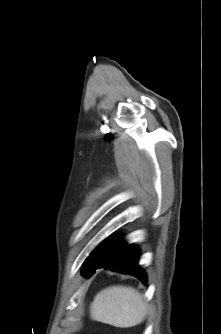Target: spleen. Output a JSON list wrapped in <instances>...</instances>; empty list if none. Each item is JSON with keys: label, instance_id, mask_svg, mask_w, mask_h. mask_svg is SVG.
<instances>
[{"label": "spleen", "instance_id": "spleen-1", "mask_svg": "<svg viewBox=\"0 0 221 334\" xmlns=\"http://www.w3.org/2000/svg\"><path fill=\"white\" fill-rule=\"evenodd\" d=\"M147 305L132 287L111 286L101 290L91 303L92 320L119 328L133 327L146 317Z\"/></svg>", "mask_w": 221, "mask_h": 334}]
</instances>
